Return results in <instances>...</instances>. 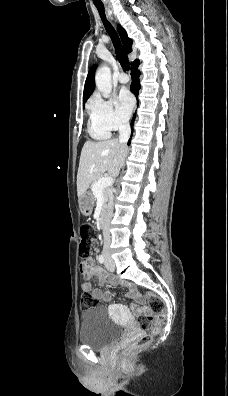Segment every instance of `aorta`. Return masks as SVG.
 Segmentation results:
<instances>
[{"label":"aorta","instance_id":"aorta-1","mask_svg":"<svg viewBox=\"0 0 228 396\" xmlns=\"http://www.w3.org/2000/svg\"><path fill=\"white\" fill-rule=\"evenodd\" d=\"M95 83L103 97L108 98L112 91L111 70L107 65L99 68L95 75Z\"/></svg>","mask_w":228,"mask_h":396}]
</instances>
